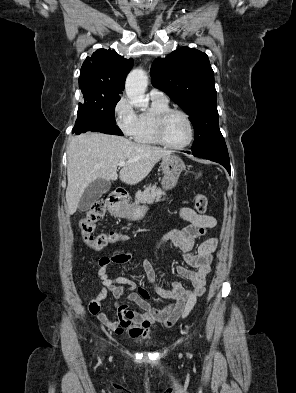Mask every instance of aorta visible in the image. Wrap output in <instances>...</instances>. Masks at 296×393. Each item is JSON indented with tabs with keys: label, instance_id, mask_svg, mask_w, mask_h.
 <instances>
[{
	"label": "aorta",
	"instance_id": "762f6f07",
	"mask_svg": "<svg viewBox=\"0 0 296 393\" xmlns=\"http://www.w3.org/2000/svg\"><path fill=\"white\" fill-rule=\"evenodd\" d=\"M148 85V77L142 68L133 69L127 76L125 91L130 102L136 107L146 108L148 101L145 92Z\"/></svg>",
	"mask_w": 296,
	"mask_h": 393
}]
</instances>
